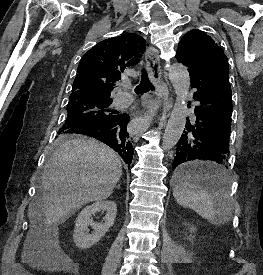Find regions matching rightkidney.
Listing matches in <instances>:
<instances>
[{
	"instance_id": "ca27d5eb",
	"label": "right kidney",
	"mask_w": 263,
	"mask_h": 275,
	"mask_svg": "<svg viewBox=\"0 0 263 275\" xmlns=\"http://www.w3.org/2000/svg\"><path fill=\"white\" fill-rule=\"evenodd\" d=\"M99 211H106L104 223L93 222L91 216ZM117 213L116 204L113 201H98L85 207L76 219L73 240L79 249H88L96 244L113 226ZM88 226H91L93 232L89 234Z\"/></svg>"
}]
</instances>
